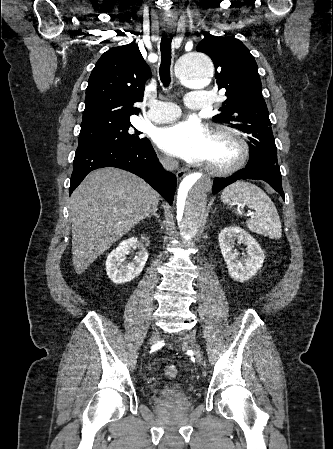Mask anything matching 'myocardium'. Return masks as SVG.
<instances>
[{
  "mask_svg": "<svg viewBox=\"0 0 333 449\" xmlns=\"http://www.w3.org/2000/svg\"><path fill=\"white\" fill-rule=\"evenodd\" d=\"M211 137L230 143L234 148V157L225 164L205 162L204 167L207 171L216 176H227L245 165L249 158L250 150L247 141L240 134L230 129L216 128L212 131Z\"/></svg>",
  "mask_w": 333,
  "mask_h": 449,
  "instance_id": "myocardium-1",
  "label": "myocardium"
}]
</instances>
